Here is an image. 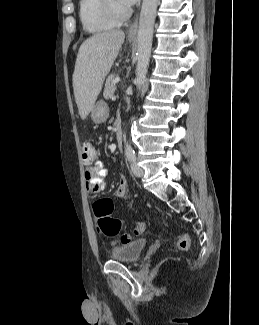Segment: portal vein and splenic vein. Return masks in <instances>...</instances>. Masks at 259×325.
<instances>
[{"instance_id": "18ae733b", "label": "portal vein and splenic vein", "mask_w": 259, "mask_h": 325, "mask_svg": "<svg viewBox=\"0 0 259 325\" xmlns=\"http://www.w3.org/2000/svg\"><path fill=\"white\" fill-rule=\"evenodd\" d=\"M120 81V78L119 77H116L114 80H113V83L116 84Z\"/></svg>"}]
</instances>
